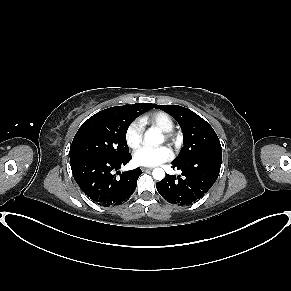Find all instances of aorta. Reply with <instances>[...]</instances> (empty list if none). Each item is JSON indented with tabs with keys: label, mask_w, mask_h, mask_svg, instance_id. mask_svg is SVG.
<instances>
[{
	"label": "aorta",
	"mask_w": 291,
	"mask_h": 291,
	"mask_svg": "<svg viewBox=\"0 0 291 291\" xmlns=\"http://www.w3.org/2000/svg\"><path fill=\"white\" fill-rule=\"evenodd\" d=\"M144 141L147 145L157 146L164 142V137L155 129L150 128L146 131ZM155 180H162L165 177V172L162 168H155L152 172Z\"/></svg>",
	"instance_id": "obj_1"
}]
</instances>
